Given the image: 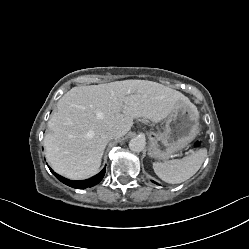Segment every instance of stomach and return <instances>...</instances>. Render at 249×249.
<instances>
[{"mask_svg":"<svg viewBox=\"0 0 249 249\" xmlns=\"http://www.w3.org/2000/svg\"><path fill=\"white\" fill-rule=\"evenodd\" d=\"M199 130V114L190 105L179 103L169 114L162 131L149 133V155L167 160L193 141Z\"/></svg>","mask_w":249,"mask_h":249,"instance_id":"0dacf381","label":"stomach"}]
</instances>
